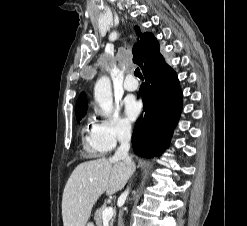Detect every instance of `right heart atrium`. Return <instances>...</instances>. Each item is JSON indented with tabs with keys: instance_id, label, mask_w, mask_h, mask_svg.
I'll use <instances>...</instances> for the list:
<instances>
[{
	"instance_id": "right-heart-atrium-1",
	"label": "right heart atrium",
	"mask_w": 247,
	"mask_h": 226,
	"mask_svg": "<svg viewBox=\"0 0 247 226\" xmlns=\"http://www.w3.org/2000/svg\"><path fill=\"white\" fill-rule=\"evenodd\" d=\"M131 133L130 123L117 112L94 124V137L107 151L114 149L119 143L127 141Z\"/></svg>"
}]
</instances>
